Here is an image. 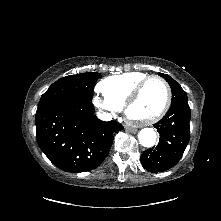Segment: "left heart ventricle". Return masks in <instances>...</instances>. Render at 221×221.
Wrapping results in <instances>:
<instances>
[{
    "label": "left heart ventricle",
    "mask_w": 221,
    "mask_h": 221,
    "mask_svg": "<svg viewBox=\"0 0 221 221\" xmlns=\"http://www.w3.org/2000/svg\"><path fill=\"white\" fill-rule=\"evenodd\" d=\"M166 92L163 84L158 80H151L143 88L139 98L130 109V115L135 119H146L163 107Z\"/></svg>",
    "instance_id": "b2bd125f"
}]
</instances>
